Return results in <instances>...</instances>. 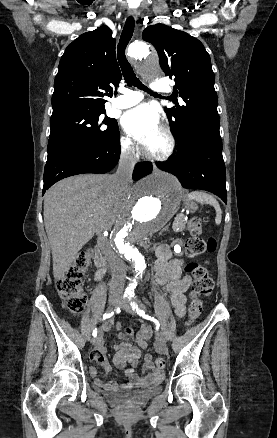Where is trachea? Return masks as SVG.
I'll return each instance as SVG.
<instances>
[{
    "instance_id": "trachea-1",
    "label": "trachea",
    "mask_w": 277,
    "mask_h": 438,
    "mask_svg": "<svg viewBox=\"0 0 277 438\" xmlns=\"http://www.w3.org/2000/svg\"><path fill=\"white\" fill-rule=\"evenodd\" d=\"M134 27H135L134 18L132 16H129L125 22L118 43L117 56H118L119 65L121 67L125 82L129 87L134 86L140 90H144L145 92L153 94V92L150 89H148L145 85H143V83L140 82L139 78L136 77V74L134 73V70L131 67L125 55L126 47L134 33Z\"/></svg>"
}]
</instances>
